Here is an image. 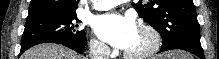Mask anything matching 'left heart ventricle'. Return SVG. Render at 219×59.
<instances>
[{"label": "left heart ventricle", "instance_id": "1", "mask_svg": "<svg viewBox=\"0 0 219 59\" xmlns=\"http://www.w3.org/2000/svg\"><path fill=\"white\" fill-rule=\"evenodd\" d=\"M150 44V38L148 35L138 31V34L130 44V46L126 49L130 52H140L146 49Z\"/></svg>", "mask_w": 219, "mask_h": 59}]
</instances>
